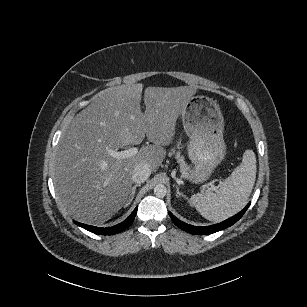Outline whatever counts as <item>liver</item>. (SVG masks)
I'll return each instance as SVG.
<instances>
[{
	"instance_id": "obj_1",
	"label": "liver",
	"mask_w": 307,
	"mask_h": 307,
	"mask_svg": "<svg viewBox=\"0 0 307 307\" xmlns=\"http://www.w3.org/2000/svg\"><path fill=\"white\" fill-rule=\"evenodd\" d=\"M143 84L119 85L100 91L94 101L68 125L52 163L56 197L75 219L102 224L127 204L132 174L138 163L155 172L172 143L176 121L196 88L147 87L141 111ZM143 146L131 157L109 154L128 145Z\"/></svg>"
}]
</instances>
